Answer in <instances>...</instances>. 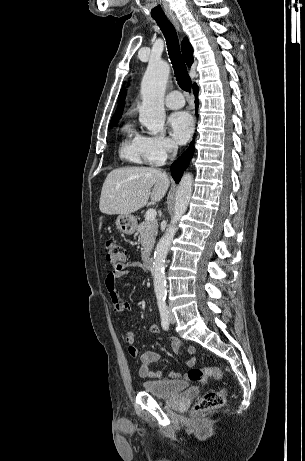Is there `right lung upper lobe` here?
Listing matches in <instances>:
<instances>
[{
  "instance_id": "obj_1",
  "label": "right lung upper lobe",
  "mask_w": 305,
  "mask_h": 461,
  "mask_svg": "<svg viewBox=\"0 0 305 461\" xmlns=\"http://www.w3.org/2000/svg\"><path fill=\"white\" fill-rule=\"evenodd\" d=\"M182 53L186 64L188 65V67H190L193 63V49L187 38H184L182 41ZM124 98L125 95H123V93L121 92L119 95L118 107L111 119V122L118 121L121 118L123 107L125 105Z\"/></svg>"
}]
</instances>
